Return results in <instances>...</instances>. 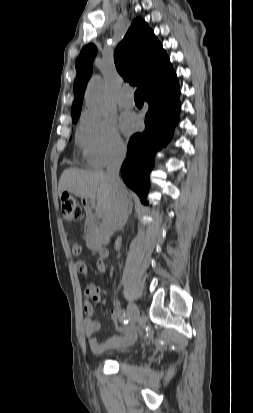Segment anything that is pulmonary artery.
Instances as JSON below:
<instances>
[{
  "mask_svg": "<svg viewBox=\"0 0 253 413\" xmlns=\"http://www.w3.org/2000/svg\"><path fill=\"white\" fill-rule=\"evenodd\" d=\"M118 104L121 107L130 108L135 104L132 93L128 89H123L117 99Z\"/></svg>",
  "mask_w": 253,
  "mask_h": 413,
  "instance_id": "pulmonary-artery-1",
  "label": "pulmonary artery"
}]
</instances>
